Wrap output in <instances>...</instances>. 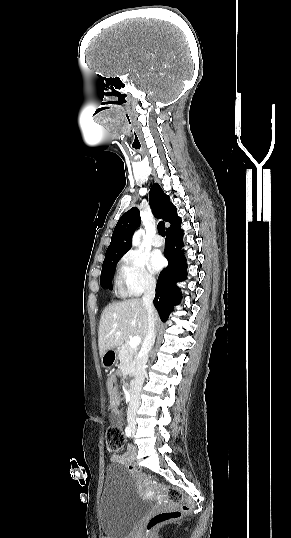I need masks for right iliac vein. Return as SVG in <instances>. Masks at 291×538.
I'll list each match as a JSON object with an SVG mask.
<instances>
[{
  "instance_id": "right-iliac-vein-1",
  "label": "right iliac vein",
  "mask_w": 291,
  "mask_h": 538,
  "mask_svg": "<svg viewBox=\"0 0 291 538\" xmlns=\"http://www.w3.org/2000/svg\"><path fill=\"white\" fill-rule=\"evenodd\" d=\"M129 425H130L131 429H132L133 431H135V429H136L135 422L132 421V420H130V421H129Z\"/></svg>"
}]
</instances>
